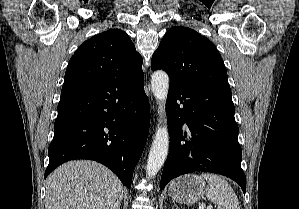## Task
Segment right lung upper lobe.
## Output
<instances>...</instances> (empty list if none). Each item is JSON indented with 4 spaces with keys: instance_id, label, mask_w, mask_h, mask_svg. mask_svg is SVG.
<instances>
[{
    "instance_id": "obj_1",
    "label": "right lung upper lobe",
    "mask_w": 299,
    "mask_h": 209,
    "mask_svg": "<svg viewBox=\"0 0 299 209\" xmlns=\"http://www.w3.org/2000/svg\"><path fill=\"white\" fill-rule=\"evenodd\" d=\"M142 57L129 36L110 29L88 39L71 57L64 85L118 78L128 84L144 79Z\"/></svg>"
}]
</instances>
